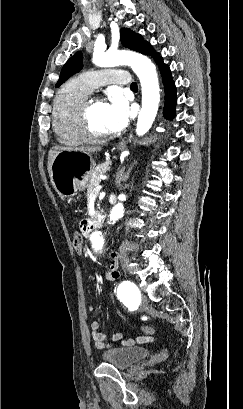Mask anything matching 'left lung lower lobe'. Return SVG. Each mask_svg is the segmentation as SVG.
Wrapping results in <instances>:
<instances>
[{
  "label": "left lung lower lobe",
  "instance_id": "obj_1",
  "mask_svg": "<svg viewBox=\"0 0 243 409\" xmlns=\"http://www.w3.org/2000/svg\"><path fill=\"white\" fill-rule=\"evenodd\" d=\"M165 90L164 116L173 119L175 116L176 87L171 76L169 67L166 64L159 65Z\"/></svg>",
  "mask_w": 243,
  "mask_h": 409
}]
</instances>
